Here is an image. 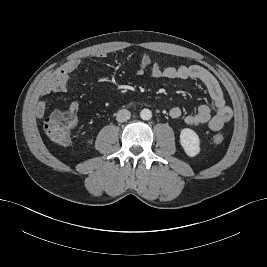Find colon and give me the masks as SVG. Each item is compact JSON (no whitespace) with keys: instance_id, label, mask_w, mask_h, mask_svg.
<instances>
[{"instance_id":"1","label":"colon","mask_w":267,"mask_h":267,"mask_svg":"<svg viewBox=\"0 0 267 267\" xmlns=\"http://www.w3.org/2000/svg\"><path fill=\"white\" fill-rule=\"evenodd\" d=\"M76 123V114L57 110L45 119L44 130L53 142L67 144L70 140L71 130ZM223 139L222 134H215L212 137L214 144L222 143Z\"/></svg>"}]
</instances>
